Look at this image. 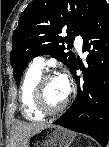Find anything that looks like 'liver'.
<instances>
[{
	"instance_id": "6515ba94",
	"label": "liver",
	"mask_w": 109,
	"mask_h": 147,
	"mask_svg": "<svg viewBox=\"0 0 109 147\" xmlns=\"http://www.w3.org/2000/svg\"><path fill=\"white\" fill-rule=\"evenodd\" d=\"M49 124L43 123H18L12 127L10 147H27L31 135L44 129Z\"/></svg>"
}]
</instances>
